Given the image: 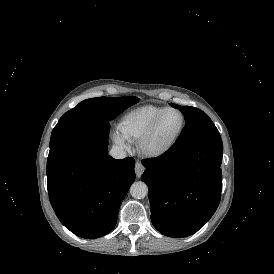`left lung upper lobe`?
Listing matches in <instances>:
<instances>
[{
  "instance_id": "left-lung-upper-lobe-1",
  "label": "left lung upper lobe",
  "mask_w": 274,
  "mask_h": 274,
  "mask_svg": "<svg viewBox=\"0 0 274 274\" xmlns=\"http://www.w3.org/2000/svg\"><path fill=\"white\" fill-rule=\"evenodd\" d=\"M171 105L180 109L186 120V125L173 146L180 147L199 140L221 138L211 119L202 110L190 106L182 107L173 103Z\"/></svg>"
}]
</instances>
